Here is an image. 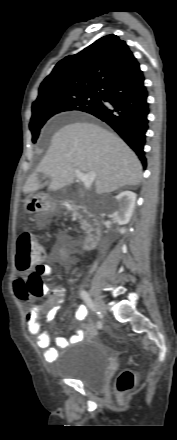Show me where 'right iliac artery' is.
I'll use <instances>...</instances> for the list:
<instances>
[{
    "mask_svg": "<svg viewBox=\"0 0 177 440\" xmlns=\"http://www.w3.org/2000/svg\"><path fill=\"white\" fill-rule=\"evenodd\" d=\"M80 295H81L82 299L84 300V302L87 304V306L99 316L100 312L97 311L95 304L93 303L88 292L85 290H81ZM101 327H102V323L100 321H98L97 328L100 329Z\"/></svg>",
    "mask_w": 177,
    "mask_h": 440,
    "instance_id": "1",
    "label": "right iliac artery"
}]
</instances>
